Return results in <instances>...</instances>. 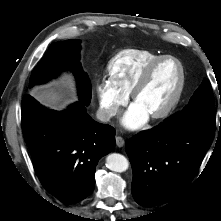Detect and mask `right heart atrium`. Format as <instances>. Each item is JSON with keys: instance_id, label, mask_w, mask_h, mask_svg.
Masks as SVG:
<instances>
[{"instance_id": "obj_1", "label": "right heart atrium", "mask_w": 221, "mask_h": 221, "mask_svg": "<svg viewBox=\"0 0 221 221\" xmlns=\"http://www.w3.org/2000/svg\"><path fill=\"white\" fill-rule=\"evenodd\" d=\"M99 110L103 118L117 116L129 98V95L116 87L109 79L103 78L96 85Z\"/></svg>"}]
</instances>
